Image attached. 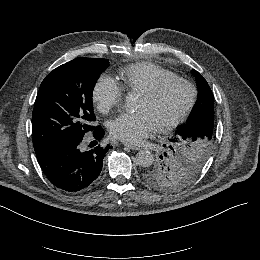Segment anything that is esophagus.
Returning a JSON list of instances; mask_svg holds the SVG:
<instances>
[{
    "label": "esophagus",
    "mask_w": 260,
    "mask_h": 260,
    "mask_svg": "<svg viewBox=\"0 0 260 260\" xmlns=\"http://www.w3.org/2000/svg\"><path fill=\"white\" fill-rule=\"evenodd\" d=\"M124 145H125L126 147H128V148H130V149H132V150H136V151H138V150L141 149L139 146L134 145V144H131V143H124Z\"/></svg>",
    "instance_id": "1"
}]
</instances>
